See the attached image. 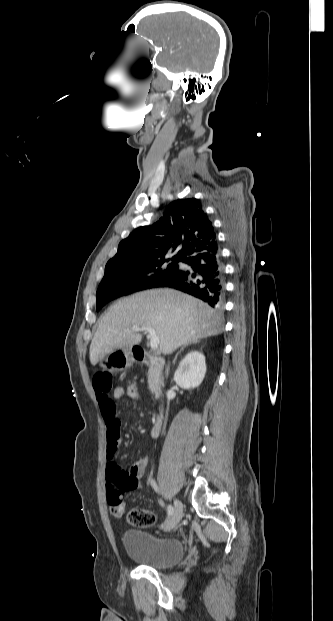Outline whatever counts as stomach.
<instances>
[{"mask_svg": "<svg viewBox=\"0 0 333 621\" xmlns=\"http://www.w3.org/2000/svg\"><path fill=\"white\" fill-rule=\"evenodd\" d=\"M134 358L131 352V348H114L110 351L106 361L100 362V367L112 369H122L125 365L133 362Z\"/></svg>", "mask_w": 333, "mask_h": 621, "instance_id": "1", "label": "stomach"}]
</instances>
